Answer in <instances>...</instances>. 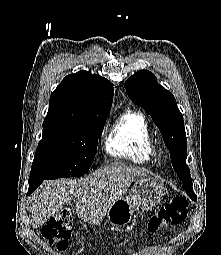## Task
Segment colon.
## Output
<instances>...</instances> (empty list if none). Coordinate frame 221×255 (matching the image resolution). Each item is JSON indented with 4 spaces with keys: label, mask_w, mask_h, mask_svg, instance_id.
I'll return each mask as SVG.
<instances>
[{
    "label": "colon",
    "mask_w": 221,
    "mask_h": 255,
    "mask_svg": "<svg viewBox=\"0 0 221 255\" xmlns=\"http://www.w3.org/2000/svg\"><path fill=\"white\" fill-rule=\"evenodd\" d=\"M187 201L183 197H174L161 206L148 220L149 232H156L160 228L175 225L187 217ZM72 215L67 208L49 218L42 228V235L49 245L59 252L68 248L71 237Z\"/></svg>",
    "instance_id": "obj_1"
}]
</instances>
